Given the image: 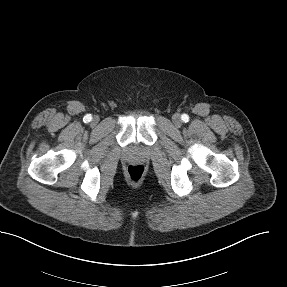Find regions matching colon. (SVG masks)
Masks as SVG:
<instances>
[{"label": "colon", "mask_w": 287, "mask_h": 287, "mask_svg": "<svg viewBox=\"0 0 287 287\" xmlns=\"http://www.w3.org/2000/svg\"><path fill=\"white\" fill-rule=\"evenodd\" d=\"M126 174L131 181L138 182L143 178L145 168L140 164H131L127 167Z\"/></svg>", "instance_id": "colon-1"}]
</instances>
